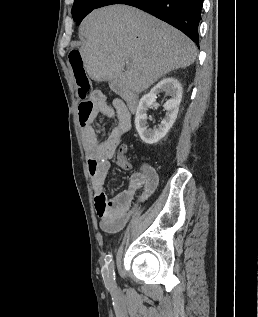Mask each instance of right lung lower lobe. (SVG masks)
Instances as JSON below:
<instances>
[{"label": "right lung lower lobe", "mask_w": 258, "mask_h": 317, "mask_svg": "<svg viewBox=\"0 0 258 317\" xmlns=\"http://www.w3.org/2000/svg\"><path fill=\"white\" fill-rule=\"evenodd\" d=\"M111 4H126L148 12L181 30L199 47L198 25L203 0H87L76 17V24L94 9Z\"/></svg>", "instance_id": "98d812e1"}]
</instances>
